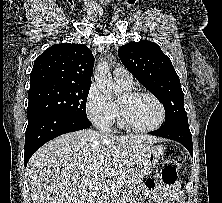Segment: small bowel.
<instances>
[{
  "label": "small bowel",
  "mask_w": 222,
  "mask_h": 203,
  "mask_svg": "<svg viewBox=\"0 0 222 203\" xmlns=\"http://www.w3.org/2000/svg\"><path fill=\"white\" fill-rule=\"evenodd\" d=\"M151 194L153 200L161 203H182L181 190L178 184H165L158 176L148 180L146 184L137 190L138 199ZM133 203H140L138 200Z\"/></svg>",
  "instance_id": "1"
}]
</instances>
